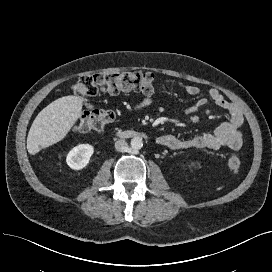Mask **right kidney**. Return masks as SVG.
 Masks as SVG:
<instances>
[{"label": "right kidney", "instance_id": "1", "mask_svg": "<svg viewBox=\"0 0 272 272\" xmlns=\"http://www.w3.org/2000/svg\"><path fill=\"white\" fill-rule=\"evenodd\" d=\"M94 148L89 144H80L71 149L66 157V162L71 169H83L90 161Z\"/></svg>", "mask_w": 272, "mask_h": 272}]
</instances>
